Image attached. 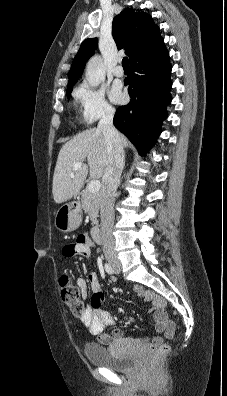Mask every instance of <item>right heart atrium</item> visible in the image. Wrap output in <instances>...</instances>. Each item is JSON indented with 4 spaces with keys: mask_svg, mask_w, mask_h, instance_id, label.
<instances>
[{
    "mask_svg": "<svg viewBox=\"0 0 227 396\" xmlns=\"http://www.w3.org/2000/svg\"><path fill=\"white\" fill-rule=\"evenodd\" d=\"M76 101L81 106L83 119L87 123H94L103 118H110L114 115V107L107 101L105 91L82 83L74 93Z\"/></svg>",
    "mask_w": 227,
    "mask_h": 396,
    "instance_id": "1",
    "label": "right heart atrium"
}]
</instances>
